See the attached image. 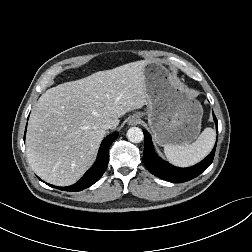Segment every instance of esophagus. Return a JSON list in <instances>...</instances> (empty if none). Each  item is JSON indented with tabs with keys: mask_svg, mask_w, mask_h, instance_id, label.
<instances>
[{
	"mask_svg": "<svg viewBox=\"0 0 252 252\" xmlns=\"http://www.w3.org/2000/svg\"><path fill=\"white\" fill-rule=\"evenodd\" d=\"M139 122H140V119L137 116H133L129 120V125L135 126V125L139 124Z\"/></svg>",
	"mask_w": 252,
	"mask_h": 252,
	"instance_id": "34e87169",
	"label": "esophagus"
}]
</instances>
